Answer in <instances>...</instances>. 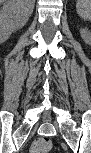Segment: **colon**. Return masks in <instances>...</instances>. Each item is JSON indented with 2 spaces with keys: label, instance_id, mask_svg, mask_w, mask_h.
Returning a JSON list of instances; mask_svg holds the SVG:
<instances>
[{
  "label": "colon",
  "instance_id": "obj_1",
  "mask_svg": "<svg viewBox=\"0 0 91 153\" xmlns=\"http://www.w3.org/2000/svg\"><path fill=\"white\" fill-rule=\"evenodd\" d=\"M52 148V141L50 138L42 137L34 140L31 145V153H48Z\"/></svg>",
  "mask_w": 91,
  "mask_h": 153
}]
</instances>
